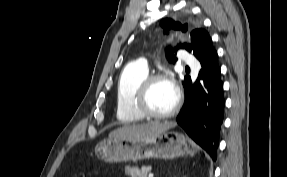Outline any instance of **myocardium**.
<instances>
[{"instance_id":"1","label":"myocardium","mask_w":287,"mask_h":177,"mask_svg":"<svg viewBox=\"0 0 287 177\" xmlns=\"http://www.w3.org/2000/svg\"><path fill=\"white\" fill-rule=\"evenodd\" d=\"M158 81L169 82L173 86L176 94V99L173 107L170 110L163 113H155L151 111L147 105V99L150 89L154 85V83ZM181 101L182 96L178 86L166 74L155 73V74H149L139 85L135 97L133 99V105L135 110L143 117L150 119H164L175 115L179 111L181 107Z\"/></svg>"}]
</instances>
